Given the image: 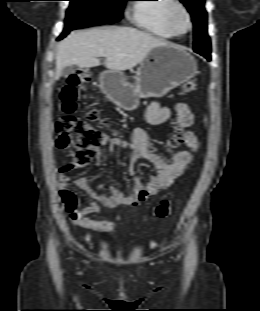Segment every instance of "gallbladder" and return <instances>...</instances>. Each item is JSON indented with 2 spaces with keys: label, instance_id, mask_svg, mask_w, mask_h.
I'll list each match as a JSON object with an SVG mask.
<instances>
[{
  "label": "gallbladder",
  "instance_id": "1",
  "mask_svg": "<svg viewBox=\"0 0 260 311\" xmlns=\"http://www.w3.org/2000/svg\"><path fill=\"white\" fill-rule=\"evenodd\" d=\"M76 68L75 66H68L63 68L62 72H61V76L62 77H68L69 75H72L75 72Z\"/></svg>",
  "mask_w": 260,
  "mask_h": 311
}]
</instances>
